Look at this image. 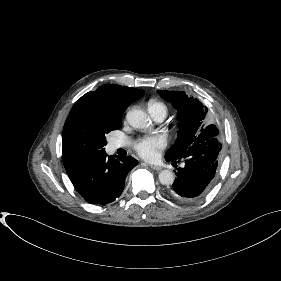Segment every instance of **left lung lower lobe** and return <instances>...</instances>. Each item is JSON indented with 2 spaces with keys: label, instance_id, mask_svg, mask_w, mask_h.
Here are the masks:
<instances>
[{
  "label": "left lung lower lobe",
  "instance_id": "left-lung-lower-lobe-1",
  "mask_svg": "<svg viewBox=\"0 0 281 281\" xmlns=\"http://www.w3.org/2000/svg\"><path fill=\"white\" fill-rule=\"evenodd\" d=\"M222 145L218 138L193 144L186 155L180 159L183 168L175 171L172 194L181 201L195 202L211 188L215 178ZM167 160V159H166ZM177 163L178 160H167Z\"/></svg>",
  "mask_w": 281,
  "mask_h": 281
}]
</instances>
